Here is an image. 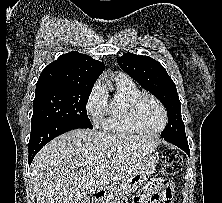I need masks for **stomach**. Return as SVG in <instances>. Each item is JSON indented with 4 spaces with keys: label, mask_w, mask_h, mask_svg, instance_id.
<instances>
[{
    "label": "stomach",
    "mask_w": 222,
    "mask_h": 203,
    "mask_svg": "<svg viewBox=\"0 0 222 203\" xmlns=\"http://www.w3.org/2000/svg\"><path fill=\"white\" fill-rule=\"evenodd\" d=\"M157 163V154L149 155L138 169L122 181L119 186L121 196H129L140 188L154 173Z\"/></svg>",
    "instance_id": "obj_1"
}]
</instances>
